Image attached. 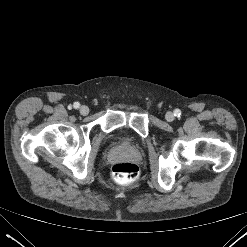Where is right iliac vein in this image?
<instances>
[{"label":"right iliac vein","mask_w":247,"mask_h":247,"mask_svg":"<svg viewBox=\"0 0 247 247\" xmlns=\"http://www.w3.org/2000/svg\"><path fill=\"white\" fill-rule=\"evenodd\" d=\"M79 111L81 115L85 116L89 113V108L87 106H81Z\"/></svg>","instance_id":"obj_1"}]
</instances>
